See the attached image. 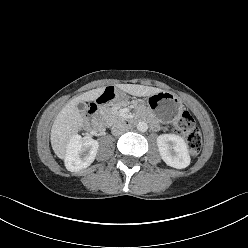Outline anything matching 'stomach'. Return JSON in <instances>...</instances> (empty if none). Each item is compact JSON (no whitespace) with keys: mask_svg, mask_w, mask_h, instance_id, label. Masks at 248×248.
<instances>
[{"mask_svg":"<svg viewBox=\"0 0 248 248\" xmlns=\"http://www.w3.org/2000/svg\"><path fill=\"white\" fill-rule=\"evenodd\" d=\"M121 102L126 101V96L121 93ZM147 108L163 122L173 121L182 110L181 100L173 93L161 91L148 97Z\"/></svg>","mask_w":248,"mask_h":248,"instance_id":"0dacf381","label":"stomach"}]
</instances>
